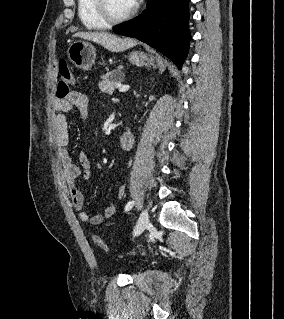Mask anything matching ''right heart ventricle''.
<instances>
[{
	"instance_id": "right-heart-ventricle-1",
	"label": "right heart ventricle",
	"mask_w": 284,
	"mask_h": 319,
	"mask_svg": "<svg viewBox=\"0 0 284 319\" xmlns=\"http://www.w3.org/2000/svg\"><path fill=\"white\" fill-rule=\"evenodd\" d=\"M78 16L87 29H103L108 23L99 15L96 0H77Z\"/></svg>"
}]
</instances>
